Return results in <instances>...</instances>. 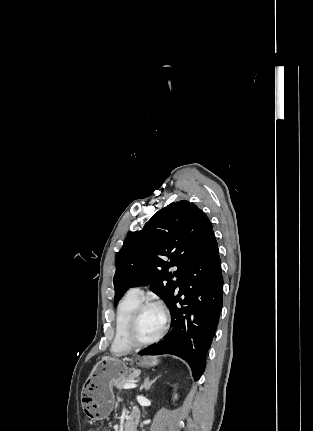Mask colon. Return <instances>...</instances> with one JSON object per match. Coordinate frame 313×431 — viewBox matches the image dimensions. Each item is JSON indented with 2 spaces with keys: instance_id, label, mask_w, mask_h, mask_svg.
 Segmentation results:
<instances>
[{
  "instance_id": "5ec220e1",
  "label": "colon",
  "mask_w": 313,
  "mask_h": 431,
  "mask_svg": "<svg viewBox=\"0 0 313 431\" xmlns=\"http://www.w3.org/2000/svg\"><path fill=\"white\" fill-rule=\"evenodd\" d=\"M86 431H99V430L96 428H90V429H87Z\"/></svg>"
}]
</instances>
